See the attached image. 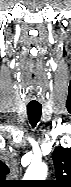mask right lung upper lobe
Instances as JSON below:
<instances>
[{
  "label": "right lung upper lobe",
  "instance_id": "cb5924a9",
  "mask_svg": "<svg viewBox=\"0 0 71 187\" xmlns=\"http://www.w3.org/2000/svg\"><path fill=\"white\" fill-rule=\"evenodd\" d=\"M8 173H9L8 167H7L5 164H3V165H2V169H1V175L3 176V178H5V176H6Z\"/></svg>",
  "mask_w": 71,
  "mask_h": 187
}]
</instances>
